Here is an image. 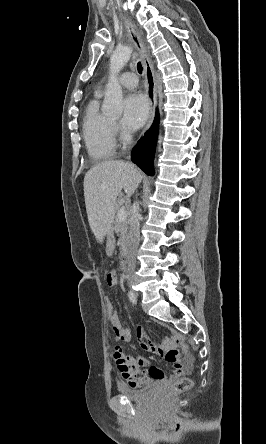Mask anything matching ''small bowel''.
I'll list each match as a JSON object with an SVG mask.
<instances>
[{"instance_id":"obj_1","label":"small bowel","mask_w":266,"mask_h":444,"mask_svg":"<svg viewBox=\"0 0 266 444\" xmlns=\"http://www.w3.org/2000/svg\"><path fill=\"white\" fill-rule=\"evenodd\" d=\"M107 283L114 286L118 281L117 273L111 271L106 277ZM112 328L117 340L130 341L132 338L131 329L122 325L119 314L110 319ZM140 346L146 350L158 354L173 364V372L167 377L164 372L156 366L149 367L148 361L142 356L129 357L125 355L123 349L117 346L114 350V357L118 370L123 379L131 388H138L153 382H161L169 385L177 380L181 375L188 374L192 369V359L189 355L181 353L177 346L180 343L179 336L175 335L164 339L160 344H154L147 337L145 331L139 328L136 332Z\"/></svg>"}]
</instances>
